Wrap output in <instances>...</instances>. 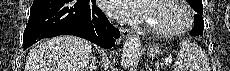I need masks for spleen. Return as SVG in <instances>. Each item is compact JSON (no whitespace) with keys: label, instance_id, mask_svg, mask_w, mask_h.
Returning <instances> with one entry per match:
<instances>
[{"label":"spleen","instance_id":"obj_1","mask_svg":"<svg viewBox=\"0 0 230 71\" xmlns=\"http://www.w3.org/2000/svg\"><path fill=\"white\" fill-rule=\"evenodd\" d=\"M174 71H207V59L201 48L191 41L180 43Z\"/></svg>","mask_w":230,"mask_h":71}]
</instances>
